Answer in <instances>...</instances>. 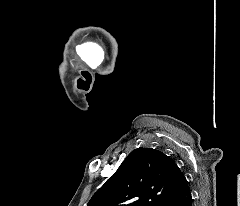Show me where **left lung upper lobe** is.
Returning a JSON list of instances; mask_svg holds the SVG:
<instances>
[{"label":"left lung upper lobe","instance_id":"1","mask_svg":"<svg viewBox=\"0 0 240 206\" xmlns=\"http://www.w3.org/2000/svg\"><path fill=\"white\" fill-rule=\"evenodd\" d=\"M180 168L163 152L138 148L93 195L88 206H164Z\"/></svg>","mask_w":240,"mask_h":206}]
</instances>
